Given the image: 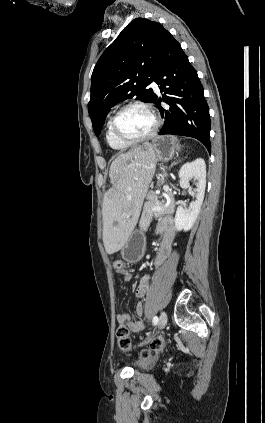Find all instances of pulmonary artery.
I'll return each instance as SVG.
<instances>
[{
  "instance_id": "1",
  "label": "pulmonary artery",
  "mask_w": 265,
  "mask_h": 423,
  "mask_svg": "<svg viewBox=\"0 0 265 423\" xmlns=\"http://www.w3.org/2000/svg\"><path fill=\"white\" fill-rule=\"evenodd\" d=\"M151 86H152V88H153V90H154L155 92H159L158 85H157L155 82H153V83L151 84Z\"/></svg>"
}]
</instances>
